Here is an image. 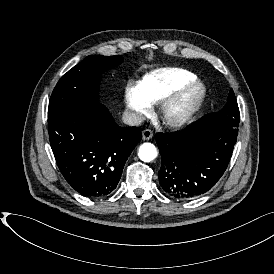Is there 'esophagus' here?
<instances>
[{"instance_id": "obj_1", "label": "esophagus", "mask_w": 274, "mask_h": 274, "mask_svg": "<svg viewBox=\"0 0 274 274\" xmlns=\"http://www.w3.org/2000/svg\"><path fill=\"white\" fill-rule=\"evenodd\" d=\"M142 135L143 140H150L153 137V132L150 129H145Z\"/></svg>"}]
</instances>
